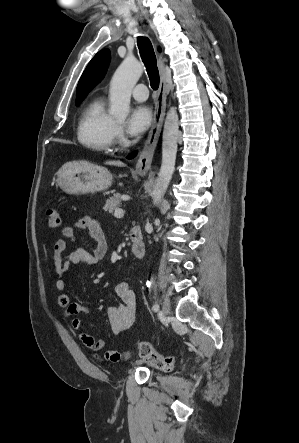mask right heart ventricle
<instances>
[{
  "mask_svg": "<svg viewBox=\"0 0 299 443\" xmlns=\"http://www.w3.org/2000/svg\"><path fill=\"white\" fill-rule=\"evenodd\" d=\"M116 122L108 114L103 99L92 100L83 110L78 126L80 144L96 152H110L116 137Z\"/></svg>",
  "mask_w": 299,
  "mask_h": 443,
  "instance_id": "e07e8e85",
  "label": "right heart ventricle"
}]
</instances>
